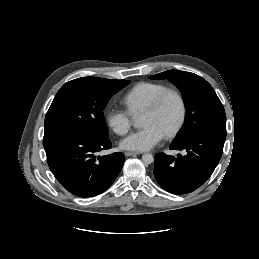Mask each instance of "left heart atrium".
<instances>
[{"label": "left heart atrium", "mask_w": 259, "mask_h": 259, "mask_svg": "<svg viewBox=\"0 0 259 259\" xmlns=\"http://www.w3.org/2000/svg\"><path fill=\"white\" fill-rule=\"evenodd\" d=\"M163 137L164 133L159 128L148 125L123 139L120 147L124 150L148 151L157 145Z\"/></svg>", "instance_id": "obj_1"}]
</instances>
